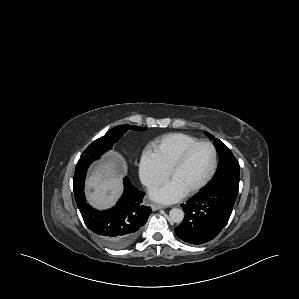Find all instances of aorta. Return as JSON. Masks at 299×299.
<instances>
[{"instance_id": "1", "label": "aorta", "mask_w": 299, "mask_h": 299, "mask_svg": "<svg viewBox=\"0 0 299 299\" xmlns=\"http://www.w3.org/2000/svg\"><path fill=\"white\" fill-rule=\"evenodd\" d=\"M169 219L174 223H181L184 219V212L182 209L173 208L169 212Z\"/></svg>"}]
</instances>
